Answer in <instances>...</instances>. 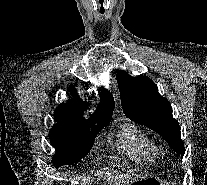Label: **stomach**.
Here are the masks:
<instances>
[{
    "label": "stomach",
    "instance_id": "stomach-1",
    "mask_svg": "<svg viewBox=\"0 0 207 185\" xmlns=\"http://www.w3.org/2000/svg\"><path fill=\"white\" fill-rule=\"evenodd\" d=\"M133 185H164L158 178L146 177L133 183Z\"/></svg>",
    "mask_w": 207,
    "mask_h": 185
}]
</instances>
